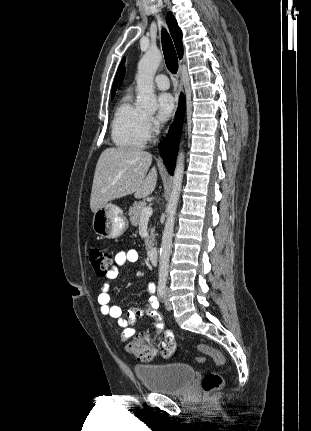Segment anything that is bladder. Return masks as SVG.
Instances as JSON below:
<instances>
[{"mask_svg": "<svg viewBox=\"0 0 311 431\" xmlns=\"http://www.w3.org/2000/svg\"><path fill=\"white\" fill-rule=\"evenodd\" d=\"M134 372L145 388L162 394L183 392L195 377L194 368L186 363L137 364Z\"/></svg>", "mask_w": 311, "mask_h": 431, "instance_id": "31cf9c89", "label": "bladder"}]
</instances>
